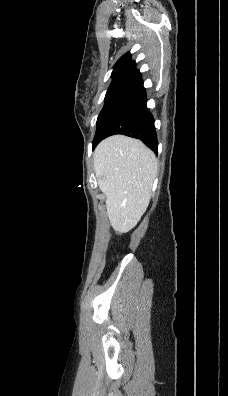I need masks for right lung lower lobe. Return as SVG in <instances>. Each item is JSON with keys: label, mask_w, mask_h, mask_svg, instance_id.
Masks as SVG:
<instances>
[{"label": "right lung lower lobe", "mask_w": 228, "mask_h": 396, "mask_svg": "<svg viewBox=\"0 0 228 396\" xmlns=\"http://www.w3.org/2000/svg\"><path fill=\"white\" fill-rule=\"evenodd\" d=\"M142 79L123 89L97 121L93 149L104 138L123 134L140 139L155 153L158 151L154 119L146 106Z\"/></svg>", "instance_id": "right-lung-lower-lobe-1"}]
</instances>
